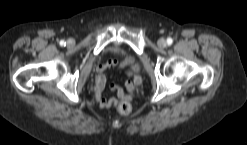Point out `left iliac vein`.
Masks as SVG:
<instances>
[{
    "label": "left iliac vein",
    "instance_id": "1",
    "mask_svg": "<svg viewBox=\"0 0 247 145\" xmlns=\"http://www.w3.org/2000/svg\"><path fill=\"white\" fill-rule=\"evenodd\" d=\"M158 46H159L160 48H165V47L167 46L166 40H165L164 38H160V39L158 40Z\"/></svg>",
    "mask_w": 247,
    "mask_h": 145
}]
</instances>
